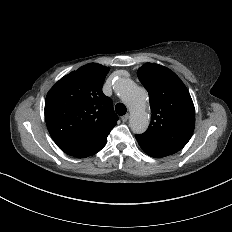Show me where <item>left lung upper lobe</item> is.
Instances as JSON below:
<instances>
[{"label":"left lung upper lobe","mask_w":232,"mask_h":232,"mask_svg":"<svg viewBox=\"0 0 232 232\" xmlns=\"http://www.w3.org/2000/svg\"><path fill=\"white\" fill-rule=\"evenodd\" d=\"M138 78L149 93L152 111L150 126L139 137L181 150L195 127V109L180 78L170 69L146 63Z\"/></svg>","instance_id":"obj_1"}]
</instances>
